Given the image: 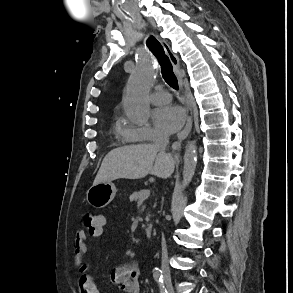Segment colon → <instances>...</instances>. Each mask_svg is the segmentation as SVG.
Listing matches in <instances>:
<instances>
[{"label":"colon","mask_w":293,"mask_h":293,"mask_svg":"<svg viewBox=\"0 0 293 293\" xmlns=\"http://www.w3.org/2000/svg\"><path fill=\"white\" fill-rule=\"evenodd\" d=\"M83 226L90 232L95 233L102 227V220L97 214L91 211H85L81 216ZM90 293H96V288H92Z\"/></svg>","instance_id":"5ec220e1"}]
</instances>
